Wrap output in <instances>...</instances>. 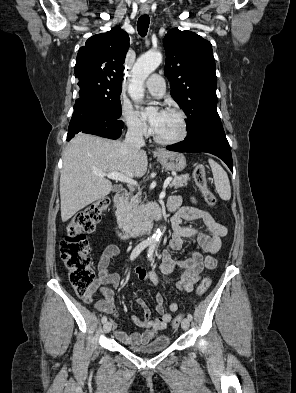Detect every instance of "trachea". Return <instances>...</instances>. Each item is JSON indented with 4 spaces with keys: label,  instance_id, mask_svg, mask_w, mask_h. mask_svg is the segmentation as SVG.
Instances as JSON below:
<instances>
[{
    "label": "trachea",
    "instance_id": "1",
    "mask_svg": "<svg viewBox=\"0 0 296 393\" xmlns=\"http://www.w3.org/2000/svg\"><path fill=\"white\" fill-rule=\"evenodd\" d=\"M150 23V18L147 14L142 15L137 22V30L141 36H145Z\"/></svg>",
    "mask_w": 296,
    "mask_h": 393
}]
</instances>
